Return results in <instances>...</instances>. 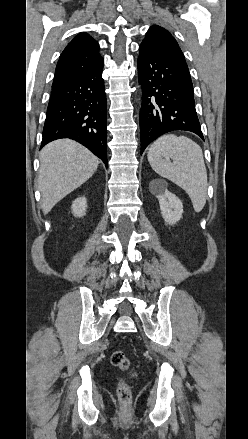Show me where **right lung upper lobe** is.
I'll use <instances>...</instances> for the list:
<instances>
[{"label":"right lung upper lobe","instance_id":"1","mask_svg":"<svg viewBox=\"0 0 248 439\" xmlns=\"http://www.w3.org/2000/svg\"><path fill=\"white\" fill-rule=\"evenodd\" d=\"M102 62L99 44L90 35L80 33L60 55L52 87L77 77Z\"/></svg>","mask_w":248,"mask_h":439}]
</instances>
